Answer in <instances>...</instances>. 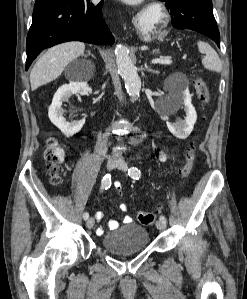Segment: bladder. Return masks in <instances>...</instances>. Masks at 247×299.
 <instances>
[{
    "label": "bladder",
    "instance_id": "obj_1",
    "mask_svg": "<svg viewBox=\"0 0 247 299\" xmlns=\"http://www.w3.org/2000/svg\"><path fill=\"white\" fill-rule=\"evenodd\" d=\"M149 241V232L145 227L129 223L105 234L101 246L108 253L128 255L143 251Z\"/></svg>",
    "mask_w": 247,
    "mask_h": 299
}]
</instances>
